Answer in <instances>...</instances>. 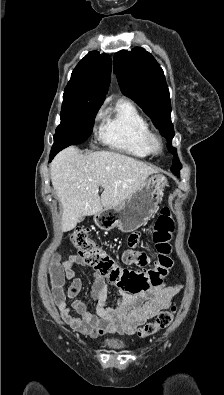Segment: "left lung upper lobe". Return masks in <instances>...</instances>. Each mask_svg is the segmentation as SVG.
I'll use <instances>...</instances> for the list:
<instances>
[{
    "label": "left lung upper lobe",
    "instance_id": "left-lung-upper-lobe-1",
    "mask_svg": "<svg viewBox=\"0 0 224 395\" xmlns=\"http://www.w3.org/2000/svg\"><path fill=\"white\" fill-rule=\"evenodd\" d=\"M114 70L122 92L143 109L167 139L168 150L175 157L171 167L174 172L181 164L176 149L171 146L175 133L169 89L162 68L149 52L135 47L132 51L121 50L115 54Z\"/></svg>",
    "mask_w": 224,
    "mask_h": 395
}]
</instances>
